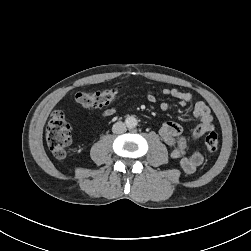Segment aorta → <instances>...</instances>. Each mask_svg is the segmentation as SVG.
<instances>
[{
    "label": "aorta",
    "mask_w": 251,
    "mask_h": 251,
    "mask_svg": "<svg viewBox=\"0 0 251 251\" xmlns=\"http://www.w3.org/2000/svg\"><path fill=\"white\" fill-rule=\"evenodd\" d=\"M138 124L137 119L134 116H128L125 120V125L127 128H134Z\"/></svg>",
    "instance_id": "1"
}]
</instances>
